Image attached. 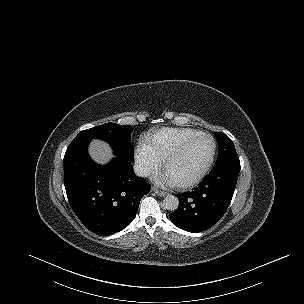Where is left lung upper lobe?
Returning a JSON list of instances; mask_svg holds the SVG:
<instances>
[{
	"instance_id": "left-lung-upper-lobe-1",
	"label": "left lung upper lobe",
	"mask_w": 304,
	"mask_h": 304,
	"mask_svg": "<svg viewBox=\"0 0 304 304\" xmlns=\"http://www.w3.org/2000/svg\"><path fill=\"white\" fill-rule=\"evenodd\" d=\"M214 134L218 140L219 151L217 161L212 169H215L231 161L239 160L232 140L223 133L214 132Z\"/></svg>"
}]
</instances>
